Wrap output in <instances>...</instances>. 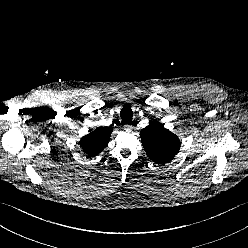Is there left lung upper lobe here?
I'll return each instance as SVG.
<instances>
[{"mask_svg":"<svg viewBox=\"0 0 248 248\" xmlns=\"http://www.w3.org/2000/svg\"><path fill=\"white\" fill-rule=\"evenodd\" d=\"M140 136L147 156L158 164L172 160L180 149L179 138L155 122L142 129Z\"/></svg>","mask_w":248,"mask_h":248,"instance_id":"left-lung-upper-lobe-1","label":"left lung upper lobe"}]
</instances>
